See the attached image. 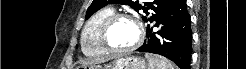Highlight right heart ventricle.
<instances>
[{"label": "right heart ventricle", "mask_w": 246, "mask_h": 69, "mask_svg": "<svg viewBox=\"0 0 246 69\" xmlns=\"http://www.w3.org/2000/svg\"><path fill=\"white\" fill-rule=\"evenodd\" d=\"M114 14L113 8L106 7L96 11L86 22L82 31V51L86 56L101 57L108 54L100 39L103 22Z\"/></svg>", "instance_id": "right-heart-ventricle-1"}]
</instances>
